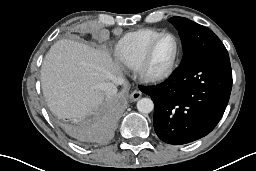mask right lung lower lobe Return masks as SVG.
Returning a JSON list of instances; mask_svg holds the SVG:
<instances>
[{
	"mask_svg": "<svg viewBox=\"0 0 256 171\" xmlns=\"http://www.w3.org/2000/svg\"><path fill=\"white\" fill-rule=\"evenodd\" d=\"M124 93L110 96L85 119L69 126V134L83 142L101 143L109 140L126 105Z\"/></svg>",
	"mask_w": 256,
	"mask_h": 171,
	"instance_id": "right-lung-lower-lobe-1",
	"label": "right lung lower lobe"
}]
</instances>
